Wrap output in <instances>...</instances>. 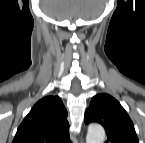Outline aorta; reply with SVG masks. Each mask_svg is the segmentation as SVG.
<instances>
[{"mask_svg":"<svg viewBox=\"0 0 145 143\" xmlns=\"http://www.w3.org/2000/svg\"><path fill=\"white\" fill-rule=\"evenodd\" d=\"M105 139V130L101 125L91 124L88 127L86 143H103Z\"/></svg>","mask_w":145,"mask_h":143,"instance_id":"obj_1","label":"aorta"}]
</instances>
